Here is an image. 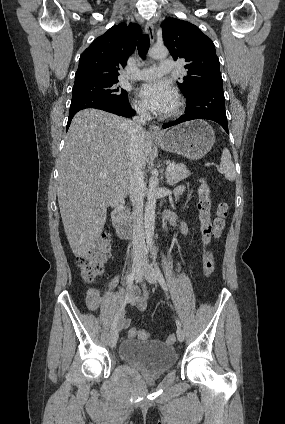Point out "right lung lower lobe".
<instances>
[{"instance_id":"right-lung-lower-lobe-1","label":"right lung lower lobe","mask_w":285,"mask_h":424,"mask_svg":"<svg viewBox=\"0 0 285 424\" xmlns=\"http://www.w3.org/2000/svg\"><path fill=\"white\" fill-rule=\"evenodd\" d=\"M86 108L100 109L124 117H131L135 114V112L131 109L128 100L125 102H119L116 100L95 95L74 96L71 100L66 130H68L73 116L78 111Z\"/></svg>"}]
</instances>
